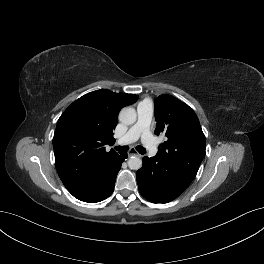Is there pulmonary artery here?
I'll return each mask as SVG.
<instances>
[{"instance_id": "pulmonary-artery-1", "label": "pulmonary artery", "mask_w": 264, "mask_h": 264, "mask_svg": "<svg viewBox=\"0 0 264 264\" xmlns=\"http://www.w3.org/2000/svg\"><path fill=\"white\" fill-rule=\"evenodd\" d=\"M153 116V106L148 101H142L137 106V121L128 130V132L121 137L117 143L119 145H128L139 138L146 147L150 156H155L158 149L157 145L150 133L149 126Z\"/></svg>"}]
</instances>
